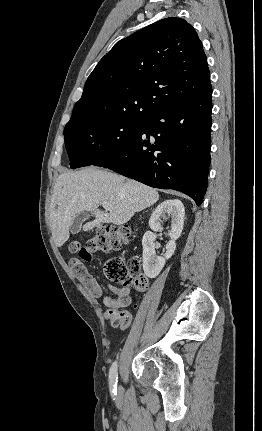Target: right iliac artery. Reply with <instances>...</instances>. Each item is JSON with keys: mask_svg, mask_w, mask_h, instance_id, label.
Wrapping results in <instances>:
<instances>
[{"mask_svg": "<svg viewBox=\"0 0 262 431\" xmlns=\"http://www.w3.org/2000/svg\"><path fill=\"white\" fill-rule=\"evenodd\" d=\"M118 374H117V362L115 361L109 371V383H110V391L112 396L117 394V382H118Z\"/></svg>", "mask_w": 262, "mask_h": 431, "instance_id": "obj_1", "label": "right iliac artery"}]
</instances>
